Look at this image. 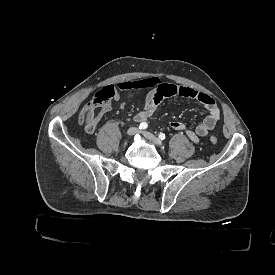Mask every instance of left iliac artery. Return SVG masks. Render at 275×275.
<instances>
[{"mask_svg": "<svg viewBox=\"0 0 275 275\" xmlns=\"http://www.w3.org/2000/svg\"><path fill=\"white\" fill-rule=\"evenodd\" d=\"M158 137L161 139V140H164L166 138L165 134L164 133H160L158 135Z\"/></svg>", "mask_w": 275, "mask_h": 275, "instance_id": "1", "label": "left iliac artery"}]
</instances>
